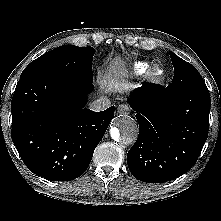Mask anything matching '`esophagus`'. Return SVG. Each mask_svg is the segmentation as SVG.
<instances>
[{
	"label": "esophagus",
	"instance_id": "esophagus-1",
	"mask_svg": "<svg viewBox=\"0 0 221 221\" xmlns=\"http://www.w3.org/2000/svg\"><path fill=\"white\" fill-rule=\"evenodd\" d=\"M117 111L119 114H129L130 107L126 104H121L117 107Z\"/></svg>",
	"mask_w": 221,
	"mask_h": 221
}]
</instances>
